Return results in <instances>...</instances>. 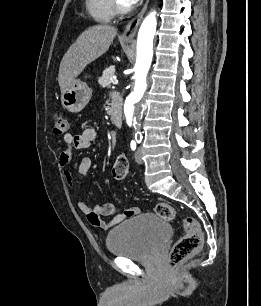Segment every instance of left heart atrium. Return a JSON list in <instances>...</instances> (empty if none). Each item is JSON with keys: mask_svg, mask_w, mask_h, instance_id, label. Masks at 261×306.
<instances>
[{"mask_svg": "<svg viewBox=\"0 0 261 306\" xmlns=\"http://www.w3.org/2000/svg\"><path fill=\"white\" fill-rule=\"evenodd\" d=\"M138 1H139V0H123V2H124L127 6L136 4Z\"/></svg>", "mask_w": 261, "mask_h": 306, "instance_id": "39dd6f15", "label": "left heart atrium"}]
</instances>
